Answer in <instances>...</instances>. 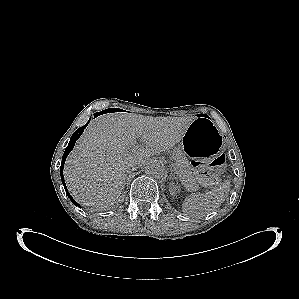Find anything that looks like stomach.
<instances>
[{"label":"stomach","instance_id":"stomach-1","mask_svg":"<svg viewBox=\"0 0 299 299\" xmlns=\"http://www.w3.org/2000/svg\"><path fill=\"white\" fill-rule=\"evenodd\" d=\"M182 140L187 156L195 162H206L223 149V138L208 116L195 117Z\"/></svg>","mask_w":299,"mask_h":299}]
</instances>
